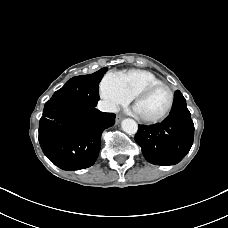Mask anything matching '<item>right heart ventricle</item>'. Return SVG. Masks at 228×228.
I'll return each instance as SVG.
<instances>
[{"label": "right heart ventricle", "instance_id": "e07e8e85", "mask_svg": "<svg viewBox=\"0 0 228 228\" xmlns=\"http://www.w3.org/2000/svg\"><path fill=\"white\" fill-rule=\"evenodd\" d=\"M118 80L124 91L133 98L143 87L162 83V81L152 72L143 69H129L117 74Z\"/></svg>", "mask_w": 228, "mask_h": 228}]
</instances>
